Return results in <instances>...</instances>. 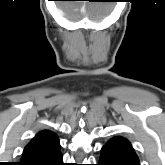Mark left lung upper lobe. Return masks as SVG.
<instances>
[{
	"mask_svg": "<svg viewBox=\"0 0 165 165\" xmlns=\"http://www.w3.org/2000/svg\"><path fill=\"white\" fill-rule=\"evenodd\" d=\"M103 148H106L110 151H116L119 153V156L122 159L135 162L139 165V159L135 154L130 142L122 137L112 138Z\"/></svg>",
	"mask_w": 165,
	"mask_h": 165,
	"instance_id": "obj_1",
	"label": "left lung upper lobe"
}]
</instances>
